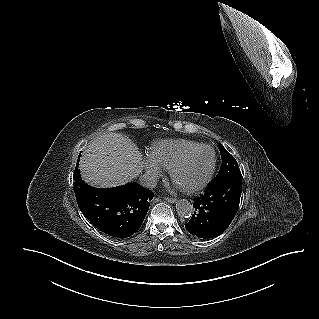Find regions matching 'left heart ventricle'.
Wrapping results in <instances>:
<instances>
[{"label":"left heart ventricle","instance_id":"1","mask_svg":"<svg viewBox=\"0 0 319 319\" xmlns=\"http://www.w3.org/2000/svg\"><path fill=\"white\" fill-rule=\"evenodd\" d=\"M213 161L210 149L202 148L194 153L177 171L175 182L180 188H192L206 177Z\"/></svg>","mask_w":319,"mask_h":319}]
</instances>
